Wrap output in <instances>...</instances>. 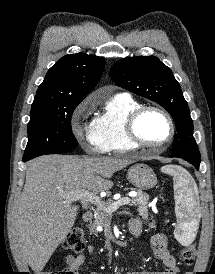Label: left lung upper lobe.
I'll use <instances>...</instances> for the list:
<instances>
[{"label": "left lung upper lobe", "mask_w": 215, "mask_h": 274, "mask_svg": "<svg viewBox=\"0 0 215 274\" xmlns=\"http://www.w3.org/2000/svg\"><path fill=\"white\" fill-rule=\"evenodd\" d=\"M112 80L121 88L163 106L175 121L177 135L171 153L200 159L193 137L190 110L172 71L155 56L127 57L113 65Z\"/></svg>", "instance_id": "obj_1"}]
</instances>
